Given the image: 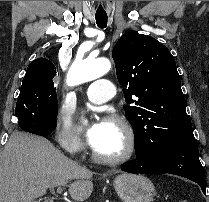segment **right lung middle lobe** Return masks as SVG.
Wrapping results in <instances>:
<instances>
[{
  "mask_svg": "<svg viewBox=\"0 0 209 202\" xmlns=\"http://www.w3.org/2000/svg\"><path fill=\"white\" fill-rule=\"evenodd\" d=\"M55 75L35 74L23 78L15 114L18 118L35 115L45 119L57 117L58 102L53 78Z\"/></svg>",
  "mask_w": 209,
  "mask_h": 202,
  "instance_id": "obj_1",
  "label": "right lung middle lobe"
}]
</instances>
